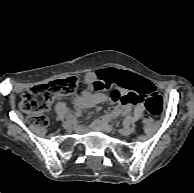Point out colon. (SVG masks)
<instances>
[{
    "label": "colon",
    "mask_w": 194,
    "mask_h": 193,
    "mask_svg": "<svg viewBox=\"0 0 194 193\" xmlns=\"http://www.w3.org/2000/svg\"><path fill=\"white\" fill-rule=\"evenodd\" d=\"M78 83L76 77H66L45 84L35 85L22 94L20 109L26 114L31 124L45 127L48 124L47 112L54 97L72 94L76 90ZM136 86V77L129 74H120L115 79H107L102 89H109L110 98L115 102L134 103L136 101L135 94L132 93L128 96H124L121 88L134 91ZM137 94L138 102L140 100L144 101L145 108L151 117L158 115L162 111V98L151 87H148L147 91L144 93ZM148 125L149 121H146V126Z\"/></svg>",
    "instance_id": "1"
}]
</instances>
